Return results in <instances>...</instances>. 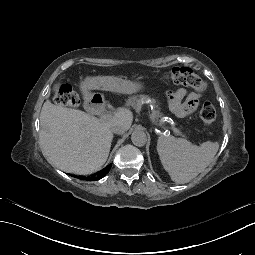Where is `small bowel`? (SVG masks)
<instances>
[{
    "label": "small bowel",
    "instance_id": "1",
    "mask_svg": "<svg viewBox=\"0 0 255 255\" xmlns=\"http://www.w3.org/2000/svg\"><path fill=\"white\" fill-rule=\"evenodd\" d=\"M176 96L179 99H185L183 104L176 110V114L179 116H186L194 112L199 105V96L194 92H187L185 89H181Z\"/></svg>",
    "mask_w": 255,
    "mask_h": 255
}]
</instances>
